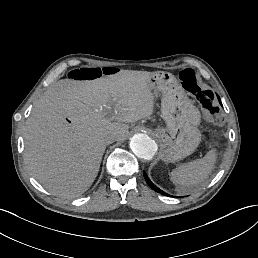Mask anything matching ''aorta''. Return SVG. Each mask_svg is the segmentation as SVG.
<instances>
[{"label": "aorta", "instance_id": "762f6f07", "mask_svg": "<svg viewBox=\"0 0 258 258\" xmlns=\"http://www.w3.org/2000/svg\"><path fill=\"white\" fill-rule=\"evenodd\" d=\"M133 153L141 159L151 160L158 150V146L147 134H135L130 141Z\"/></svg>", "mask_w": 258, "mask_h": 258}]
</instances>
